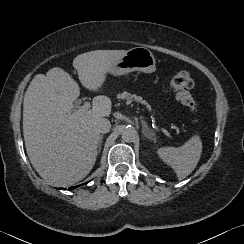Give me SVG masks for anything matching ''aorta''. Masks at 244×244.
<instances>
[{
	"label": "aorta",
	"instance_id": "762f6f07",
	"mask_svg": "<svg viewBox=\"0 0 244 244\" xmlns=\"http://www.w3.org/2000/svg\"><path fill=\"white\" fill-rule=\"evenodd\" d=\"M136 136V130L132 126H125L121 130V137L124 141H132Z\"/></svg>",
	"mask_w": 244,
	"mask_h": 244
}]
</instances>
